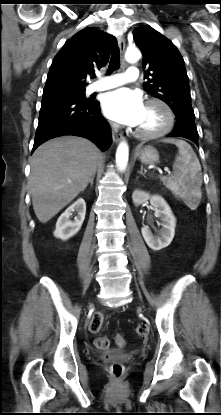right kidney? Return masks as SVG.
<instances>
[{
	"mask_svg": "<svg viewBox=\"0 0 221 415\" xmlns=\"http://www.w3.org/2000/svg\"><path fill=\"white\" fill-rule=\"evenodd\" d=\"M76 212L77 216L74 221L70 220L72 213ZM86 214V203L83 199H78L69 206L64 213L58 218L54 236L62 240H68L74 236L81 228Z\"/></svg>",
	"mask_w": 221,
	"mask_h": 415,
	"instance_id": "obj_1",
	"label": "right kidney"
}]
</instances>
